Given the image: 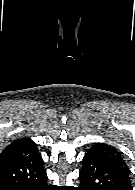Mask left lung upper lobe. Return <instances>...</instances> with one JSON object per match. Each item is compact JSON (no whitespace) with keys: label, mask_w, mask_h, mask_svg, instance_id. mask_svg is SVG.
I'll list each match as a JSON object with an SVG mask.
<instances>
[{"label":"left lung upper lobe","mask_w":135,"mask_h":190,"mask_svg":"<svg viewBox=\"0 0 135 190\" xmlns=\"http://www.w3.org/2000/svg\"><path fill=\"white\" fill-rule=\"evenodd\" d=\"M87 154L96 155L104 158L105 160L113 163L116 167L121 169L125 174L129 175V168L126 165L120 152L104 143H97L92 148H90Z\"/></svg>","instance_id":"left-lung-upper-lobe-1"}]
</instances>
